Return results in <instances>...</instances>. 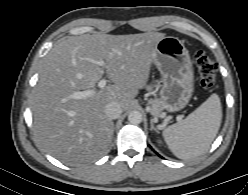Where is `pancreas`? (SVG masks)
I'll return each instance as SVG.
<instances>
[{"label":"pancreas","mask_w":248,"mask_h":195,"mask_svg":"<svg viewBox=\"0 0 248 195\" xmlns=\"http://www.w3.org/2000/svg\"><path fill=\"white\" fill-rule=\"evenodd\" d=\"M152 89H153L152 86L147 87V90L150 92V94H154ZM151 105H152L151 114L155 117H159L161 115V111H162L161 100L160 99H154L152 101Z\"/></svg>","instance_id":"pancreas-1"}]
</instances>
